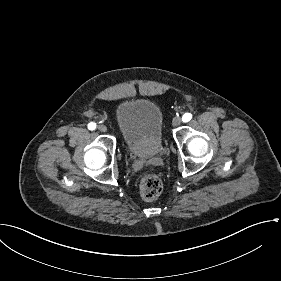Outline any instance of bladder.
Returning a JSON list of instances; mask_svg holds the SVG:
<instances>
[{"instance_id": "31cf9c89", "label": "bladder", "mask_w": 281, "mask_h": 281, "mask_svg": "<svg viewBox=\"0 0 281 281\" xmlns=\"http://www.w3.org/2000/svg\"><path fill=\"white\" fill-rule=\"evenodd\" d=\"M114 122L131 154L148 159L160 153L165 140L164 113L153 99L136 96L117 103Z\"/></svg>"}]
</instances>
